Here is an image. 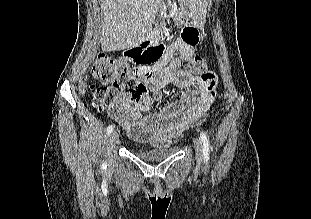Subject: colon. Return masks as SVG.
I'll use <instances>...</instances> for the list:
<instances>
[{
	"label": "colon",
	"mask_w": 311,
	"mask_h": 219,
	"mask_svg": "<svg viewBox=\"0 0 311 219\" xmlns=\"http://www.w3.org/2000/svg\"><path fill=\"white\" fill-rule=\"evenodd\" d=\"M182 39L186 42L195 43L191 28H185ZM136 47L129 51V55L136 58L137 63H151L159 58L163 49L159 48L150 53L144 50L138 53ZM178 71L191 75L206 72L207 64L203 57L181 56L176 60ZM93 76L98 79L101 86H91L94 102L98 108H111L115 112L122 102L120 94L128 102L141 104L144 109H149L152 101L147 98L148 85L136 79L135 69H132L127 60L113 58L105 54H99L92 64Z\"/></svg>",
	"instance_id": "1"
}]
</instances>
